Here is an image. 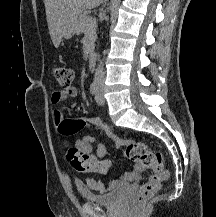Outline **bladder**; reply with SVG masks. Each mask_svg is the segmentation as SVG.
Instances as JSON below:
<instances>
[{
    "label": "bladder",
    "mask_w": 216,
    "mask_h": 217,
    "mask_svg": "<svg viewBox=\"0 0 216 217\" xmlns=\"http://www.w3.org/2000/svg\"><path fill=\"white\" fill-rule=\"evenodd\" d=\"M128 189V186L123 185L104 193H95L90 190L81 189V197L89 203L97 205H113L119 201L122 194Z\"/></svg>",
    "instance_id": "1"
}]
</instances>
